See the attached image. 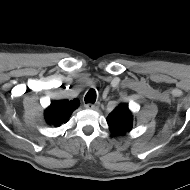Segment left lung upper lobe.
Segmentation results:
<instances>
[{
  "label": "left lung upper lobe",
  "instance_id": "left-lung-upper-lobe-1",
  "mask_svg": "<svg viewBox=\"0 0 190 190\" xmlns=\"http://www.w3.org/2000/svg\"><path fill=\"white\" fill-rule=\"evenodd\" d=\"M113 135H124L133 127V116L126 104H120L107 117Z\"/></svg>",
  "mask_w": 190,
  "mask_h": 190
}]
</instances>
